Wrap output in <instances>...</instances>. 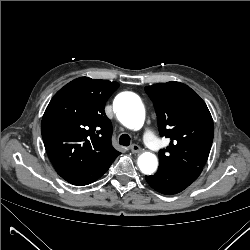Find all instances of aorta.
<instances>
[{
  "label": "aorta",
  "instance_id": "aorta-1",
  "mask_svg": "<svg viewBox=\"0 0 250 250\" xmlns=\"http://www.w3.org/2000/svg\"><path fill=\"white\" fill-rule=\"evenodd\" d=\"M114 110L121 114V122L130 129L141 127L145 120V108L140 98L131 92L119 94L113 104ZM157 157L144 152L138 157V167L142 173L150 175L157 169Z\"/></svg>",
  "mask_w": 250,
  "mask_h": 250
}]
</instances>
